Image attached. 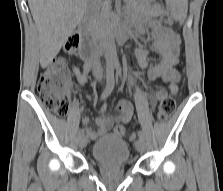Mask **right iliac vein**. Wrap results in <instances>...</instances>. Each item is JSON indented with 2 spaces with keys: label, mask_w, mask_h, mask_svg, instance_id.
I'll use <instances>...</instances> for the list:
<instances>
[{
  "label": "right iliac vein",
  "mask_w": 223,
  "mask_h": 191,
  "mask_svg": "<svg viewBox=\"0 0 223 191\" xmlns=\"http://www.w3.org/2000/svg\"><path fill=\"white\" fill-rule=\"evenodd\" d=\"M88 144V138L84 134L79 135V146L84 148Z\"/></svg>",
  "instance_id": "63e3f726"
}]
</instances>
